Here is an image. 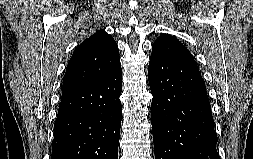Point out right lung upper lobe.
<instances>
[{
    "instance_id": "obj_1",
    "label": "right lung upper lobe",
    "mask_w": 253,
    "mask_h": 159,
    "mask_svg": "<svg viewBox=\"0 0 253 159\" xmlns=\"http://www.w3.org/2000/svg\"><path fill=\"white\" fill-rule=\"evenodd\" d=\"M120 67L118 46L103 29L85 39L75 49L63 79L62 96Z\"/></svg>"
}]
</instances>
